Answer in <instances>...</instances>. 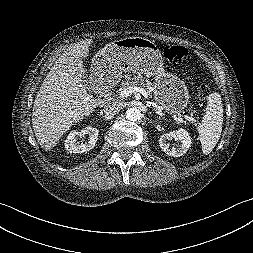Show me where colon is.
Wrapping results in <instances>:
<instances>
[{
  "instance_id": "obj_1",
  "label": "colon",
  "mask_w": 253,
  "mask_h": 253,
  "mask_svg": "<svg viewBox=\"0 0 253 253\" xmlns=\"http://www.w3.org/2000/svg\"><path fill=\"white\" fill-rule=\"evenodd\" d=\"M163 57L172 65L180 66L184 64L188 57V50L183 46L164 45L162 47ZM210 94V89L206 85H201L198 89V96L206 99Z\"/></svg>"
}]
</instances>
